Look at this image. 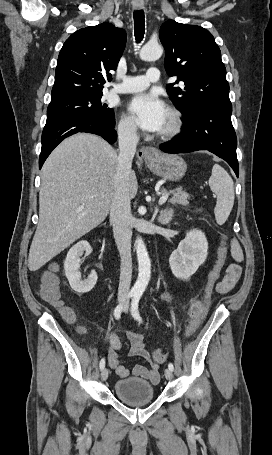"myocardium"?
<instances>
[{"instance_id":"1","label":"myocardium","mask_w":272,"mask_h":455,"mask_svg":"<svg viewBox=\"0 0 272 455\" xmlns=\"http://www.w3.org/2000/svg\"><path fill=\"white\" fill-rule=\"evenodd\" d=\"M169 123L167 127L161 131L160 138L163 140H169L177 136L183 126L181 113L175 108L168 109Z\"/></svg>"}]
</instances>
